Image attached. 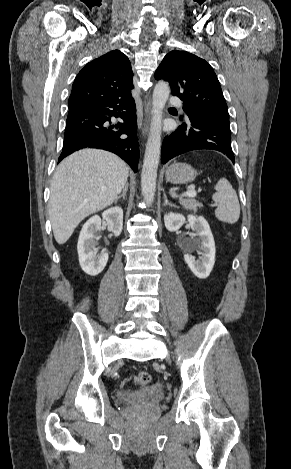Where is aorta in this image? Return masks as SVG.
I'll return each mask as SVG.
<instances>
[{
    "mask_svg": "<svg viewBox=\"0 0 291 469\" xmlns=\"http://www.w3.org/2000/svg\"><path fill=\"white\" fill-rule=\"evenodd\" d=\"M169 93L170 88L163 81L158 82L153 91L150 133L141 174L142 195L148 203L153 202L156 191L157 169L161 151L162 114Z\"/></svg>",
    "mask_w": 291,
    "mask_h": 469,
    "instance_id": "obj_1",
    "label": "aorta"
}]
</instances>
